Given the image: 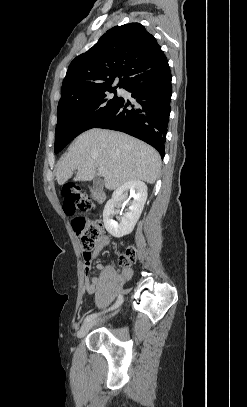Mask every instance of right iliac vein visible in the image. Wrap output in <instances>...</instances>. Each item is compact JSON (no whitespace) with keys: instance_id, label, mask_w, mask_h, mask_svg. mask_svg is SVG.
<instances>
[{"instance_id":"1","label":"right iliac vein","mask_w":247,"mask_h":407,"mask_svg":"<svg viewBox=\"0 0 247 407\" xmlns=\"http://www.w3.org/2000/svg\"><path fill=\"white\" fill-rule=\"evenodd\" d=\"M96 324V321H89L86 322L82 325V327L80 328V330L77 333V337L78 338H82L84 337L88 331Z\"/></svg>"}]
</instances>
